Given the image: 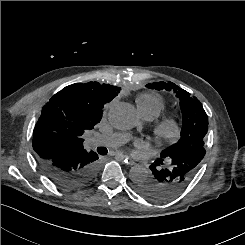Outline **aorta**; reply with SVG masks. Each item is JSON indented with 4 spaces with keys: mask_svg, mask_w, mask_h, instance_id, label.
I'll return each mask as SVG.
<instances>
[{
    "mask_svg": "<svg viewBox=\"0 0 245 245\" xmlns=\"http://www.w3.org/2000/svg\"><path fill=\"white\" fill-rule=\"evenodd\" d=\"M108 119L111 125L119 130H128L138 124V115L134 106L126 102L112 105L108 111ZM149 177H151V172L145 167L135 166L130 170V178L135 183Z\"/></svg>",
    "mask_w": 245,
    "mask_h": 245,
    "instance_id": "aorta-1",
    "label": "aorta"
}]
</instances>
